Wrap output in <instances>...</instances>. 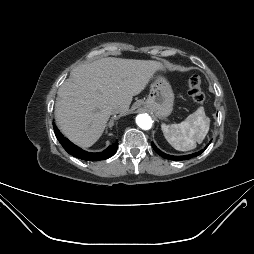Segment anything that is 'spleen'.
Segmentation results:
<instances>
[{"instance_id":"1","label":"spleen","mask_w":254,"mask_h":254,"mask_svg":"<svg viewBox=\"0 0 254 254\" xmlns=\"http://www.w3.org/2000/svg\"><path fill=\"white\" fill-rule=\"evenodd\" d=\"M210 119L206 117L204 108L199 107L179 124H162L161 128L166 140L178 151H189L200 144L209 131Z\"/></svg>"}]
</instances>
